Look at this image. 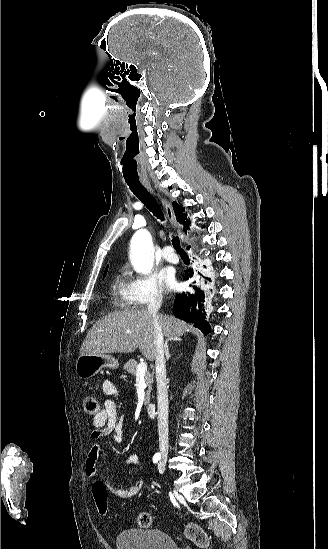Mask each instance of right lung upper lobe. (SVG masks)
Segmentation results:
<instances>
[{
  "label": "right lung upper lobe",
  "mask_w": 328,
  "mask_h": 549,
  "mask_svg": "<svg viewBox=\"0 0 328 549\" xmlns=\"http://www.w3.org/2000/svg\"><path fill=\"white\" fill-rule=\"evenodd\" d=\"M173 209L177 218V221L182 224L183 230L187 233V230L189 229V225L191 224L190 220L187 219V214L184 212V208L180 206L177 202H173ZM190 246L187 247L189 249ZM108 268V266H107ZM107 268L105 270V273L107 271Z\"/></svg>",
  "instance_id": "right-lung-upper-lobe-1"
}]
</instances>
